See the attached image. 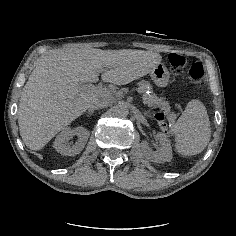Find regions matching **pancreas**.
Instances as JSON below:
<instances>
[{
	"mask_svg": "<svg viewBox=\"0 0 236 236\" xmlns=\"http://www.w3.org/2000/svg\"><path fill=\"white\" fill-rule=\"evenodd\" d=\"M150 87V84L146 81H141L135 86V89L138 92L146 91ZM127 95V92L124 89L121 90H112L110 93L104 95V99L107 102H111L113 99L124 98ZM162 98H159L151 92V96L143 95V103L146 104L150 108H160L161 107Z\"/></svg>",
	"mask_w": 236,
	"mask_h": 236,
	"instance_id": "cf45deb5",
	"label": "pancreas"
}]
</instances>
